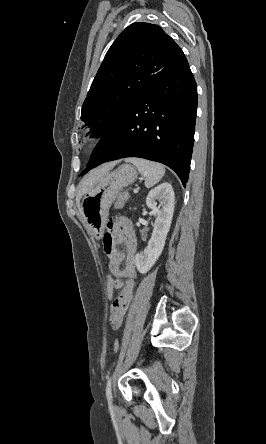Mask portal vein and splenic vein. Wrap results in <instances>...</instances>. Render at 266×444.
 <instances>
[{
    "label": "portal vein and splenic vein",
    "instance_id": "18ae733b",
    "mask_svg": "<svg viewBox=\"0 0 266 444\" xmlns=\"http://www.w3.org/2000/svg\"><path fill=\"white\" fill-rule=\"evenodd\" d=\"M133 192H134V193H137V192H138V189H134Z\"/></svg>",
    "mask_w": 266,
    "mask_h": 444
}]
</instances>
